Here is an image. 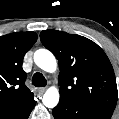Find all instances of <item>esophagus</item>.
Here are the masks:
<instances>
[{
    "label": "esophagus",
    "mask_w": 119,
    "mask_h": 119,
    "mask_svg": "<svg viewBox=\"0 0 119 119\" xmlns=\"http://www.w3.org/2000/svg\"><path fill=\"white\" fill-rule=\"evenodd\" d=\"M45 88L44 87H42V88H38V90H37V92L39 93V94H43L44 92H45Z\"/></svg>",
    "instance_id": "34e87169"
}]
</instances>
